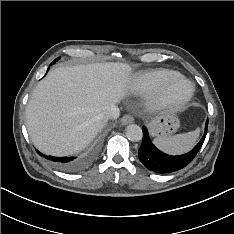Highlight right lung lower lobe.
<instances>
[{
  "instance_id": "1",
  "label": "right lung lower lobe",
  "mask_w": 234,
  "mask_h": 234,
  "mask_svg": "<svg viewBox=\"0 0 234 234\" xmlns=\"http://www.w3.org/2000/svg\"><path fill=\"white\" fill-rule=\"evenodd\" d=\"M37 153L49 160L55 167L60 170L67 171V172H75L80 170L85 165V160L78 157H54V156H47L39 151Z\"/></svg>"
}]
</instances>
